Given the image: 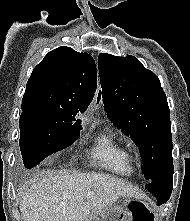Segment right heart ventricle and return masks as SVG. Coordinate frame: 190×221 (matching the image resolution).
Returning a JSON list of instances; mask_svg holds the SVG:
<instances>
[{
  "mask_svg": "<svg viewBox=\"0 0 190 221\" xmlns=\"http://www.w3.org/2000/svg\"><path fill=\"white\" fill-rule=\"evenodd\" d=\"M91 158L99 167L118 175L129 176L135 172L130 149L111 130L95 138Z\"/></svg>",
  "mask_w": 190,
  "mask_h": 221,
  "instance_id": "e07e8e85",
  "label": "right heart ventricle"
}]
</instances>
